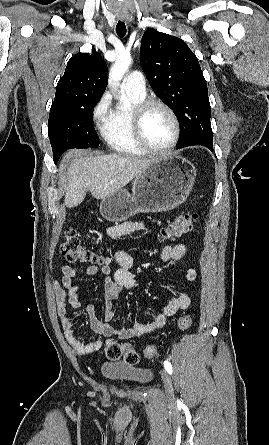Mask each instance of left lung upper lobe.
Wrapping results in <instances>:
<instances>
[{
    "mask_svg": "<svg viewBox=\"0 0 269 445\" xmlns=\"http://www.w3.org/2000/svg\"><path fill=\"white\" fill-rule=\"evenodd\" d=\"M140 62L156 95L178 118L181 135L177 148L213 147L207 83L187 44L150 28L141 39Z\"/></svg>",
    "mask_w": 269,
    "mask_h": 445,
    "instance_id": "obj_1",
    "label": "left lung upper lobe"
}]
</instances>
